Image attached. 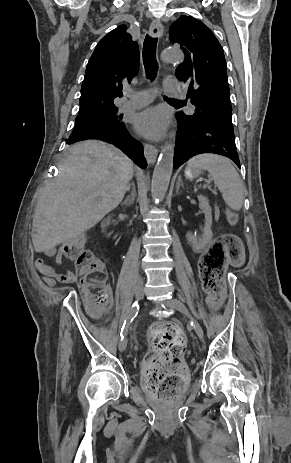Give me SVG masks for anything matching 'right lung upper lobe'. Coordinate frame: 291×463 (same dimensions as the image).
<instances>
[{"mask_svg": "<svg viewBox=\"0 0 291 463\" xmlns=\"http://www.w3.org/2000/svg\"><path fill=\"white\" fill-rule=\"evenodd\" d=\"M126 29L118 26L97 44L86 68L77 117L117 109L114 98L122 96L123 84L139 68V46Z\"/></svg>", "mask_w": 291, "mask_h": 463, "instance_id": "obj_1", "label": "right lung upper lobe"}]
</instances>
